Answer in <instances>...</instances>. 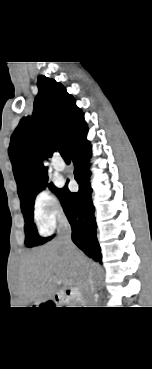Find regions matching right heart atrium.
<instances>
[{
  "label": "right heart atrium",
  "instance_id": "obj_1",
  "mask_svg": "<svg viewBox=\"0 0 152 369\" xmlns=\"http://www.w3.org/2000/svg\"><path fill=\"white\" fill-rule=\"evenodd\" d=\"M62 216L63 207L57 195L49 188L38 191L33 203V217L38 229L50 233Z\"/></svg>",
  "mask_w": 152,
  "mask_h": 369
}]
</instances>
